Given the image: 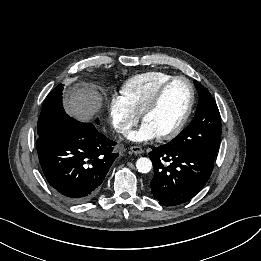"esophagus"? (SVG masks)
<instances>
[{
	"label": "esophagus",
	"mask_w": 261,
	"mask_h": 261,
	"mask_svg": "<svg viewBox=\"0 0 261 261\" xmlns=\"http://www.w3.org/2000/svg\"><path fill=\"white\" fill-rule=\"evenodd\" d=\"M131 152L134 153L135 155L143 153V149L140 146H132L130 148Z\"/></svg>",
	"instance_id": "1"
}]
</instances>
